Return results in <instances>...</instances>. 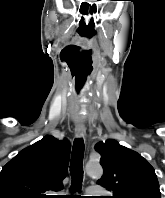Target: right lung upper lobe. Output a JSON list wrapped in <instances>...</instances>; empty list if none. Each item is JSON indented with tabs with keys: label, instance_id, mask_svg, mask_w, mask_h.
<instances>
[{
	"label": "right lung upper lobe",
	"instance_id": "cb5924a9",
	"mask_svg": "<svg viewBox=\"0 0 165 198\" xmlns=\"http://www.w3.org/2000/svg\"><path fill=\"white\" fill-rule=\"evenodd\" d=\"M69 156V141L53 136L23 149L0 172V198H44L47 190H60Z\"/></svg>",
	"mask_w": 165,
	"mask_h": 198
}]
</instances>
